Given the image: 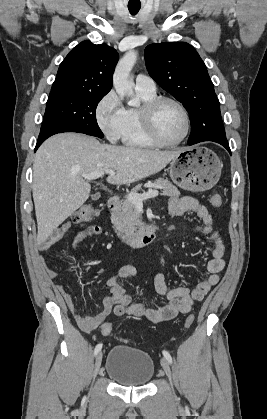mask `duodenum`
<instances>
[{
  "label": "duodenum",
  "instance_id": "1",
  "mask_svg": "<svg viewBox=\"0 0 267 419\" xmlns=\"http://www.w3.org/2000/svg\"><path fill=\"white\" fill-rule=\"evenodd\" d=\"M121 204V199L118 196H113L107 201V208L109 212L116 211ZM117 236L120 240L132 247H144L154 243L158 237L156 229H147L135 235H127L120 230H116Z\"/></svg>",
  "mask_w": 267,
  "mask_h": 419
}]
</instances>
